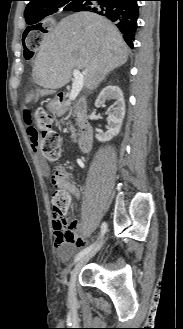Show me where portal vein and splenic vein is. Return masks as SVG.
<instances>
[{"mask_svg": "<svg viewBox=\"0 0 183 329\" xmlns=\"http://www.w3.org/2000/svg\"><path fill=\"white\" fill-rule=\"evenodd\" d=\"M73 77H74V81L72 84V89L69 95V100H75L76 97L78 96L79 92L81 91L82 87H83V83H84V75L85 72H80L78 69H74L72 71Z\"/></svg>", "mask_w": 183, "mask_h": 329, "instance_id": "18ae733b", "label": "portal vein and splenic vein"}]
</instances>
